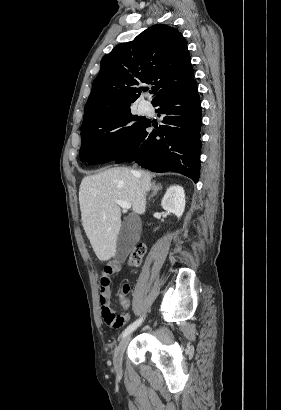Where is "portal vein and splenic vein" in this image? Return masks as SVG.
Returning <instances> with one entry per match:
<instances>
[{
  "label": "portal vein and splenic vein",
  "instance_id": "1",
  "mask_svg": "<svg viewBox=\"0 0 281 410\" xmlns=\"http://www.w3.org/2000/svg\"><path fill=\"white\" fill-rule=\"evenodd\" d=\"M115 202L123 209H130L131 208V204L129 202L122 201V200H116Z\"/></svg>",
  "mask_w": 281,
  "mask_h": 410
}]
</instances>
